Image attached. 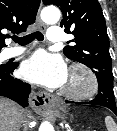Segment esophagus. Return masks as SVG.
<instances>
[{
    "label": "esophagus",
    "mask_w": 117,
    "mask_h": 131,
    "mask_svg": "<svg viewBox=\"0 0 117 131\" xmlns=\"http://www.w3.org/2000/svg\"><path fill=\"white\" fill-rule=\"evenodd\" d=\"M42 7V3L40 5L36 23L40 30L44 31L46 29L45 24L42 22L39 12ZM30 105L33 108V110L38 114H48L52 111L53 107V97L46 93V92H39L33 95V97L30 100Z\"/></svg>",
    "instance_id": "34e87169"
}]
</instances>
